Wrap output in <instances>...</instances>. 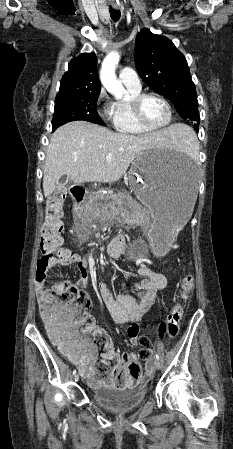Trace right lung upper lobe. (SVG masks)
<instances>
[{
  "mask_svg": "<svg viewBox=\"0 0 233 449\" xmlns=\"http://www.w3.org/2000/svg\"><path fill=\"white\" fill-rule=\"evenodd\" d=\"M97 62L94 53H82L68 65L62 77L57 95L100 92L101 84L96 75Z\"/></svg>",
  "mask_w": 233,
  "mask_h": 449,
  "instance_id": "cb5924a9",
  "label": "right lung upper lobe"
}]
</instances>
